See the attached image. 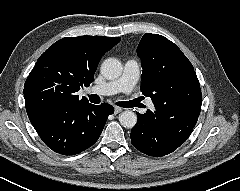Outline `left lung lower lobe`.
Instances as JSON below:
<instances>
[{"instance_id": "1", "label": "left lung lower lobe", "mask_w": 240, "mask_h": 191, "mask_svg": "<svg viewBox=\"0 0 240 191\" xmlns=\"http://www.w3.org/2000/svg\"><path fill=\"white\" fill-rule=\"evenodd\" d=\"M200 110L192 104L174 112L159 113L147 110L138 115L131 131L132 145L144 154L154 157L167 155L181 146L191 134Z\"/></svg>"}]
</instances>
